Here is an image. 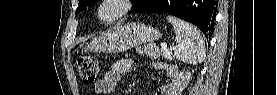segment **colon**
<instances>
[{
    "mask_svg": "<svg viewBox=\"0 0 277 95\" xmlns=\"http://www.w3.org/2000/svg\"><path fill=\"white\" fill-rule=\"evenodd\" d=\"M98 69V62L92 56H84L78 60L77 71L80 78L88 86H91L95 83Z\"/></svg>",
    "mask_w": 277,
    "mask_h": 95,
    "instance_id": "5ec220e1",
    "label": "colon"
}]
</instances>
